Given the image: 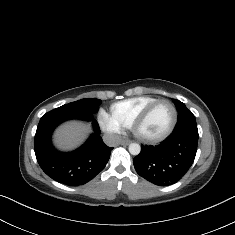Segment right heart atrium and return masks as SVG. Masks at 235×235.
Listing matches in <instances>:
<instances>
[{
	"mask_svg": "<svg viewBox=\"0 0 235 235\" xmlns=\"http://www.w3.org/2000/svg\"><path fill=\"white\" fill-rule=\"evenodd\" d=\"M97 121L102 129L110 134L119 135L123 131V127L104 108L98 110Z\"/></svg>",
	"mask_w": 235,
	"mask_h": 235,
	"instance_id": "right-heart-atrium-1",
	"label": "right heart atrium"
}]
</instances>
